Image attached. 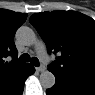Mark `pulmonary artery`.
<instances>
[{
    "label": "pulmonary artery",
    "instance_id": "pulmonary-artery-1",
    "mask_svg": "<svg viewBox=\"0 0 95 95\" xmlns=\"http://www.w3.org/2000/svg\"><path fill=\"white\" fill-rule=\"evenodd\" d=\"M37 53L39 54V56L41 57V59L45 62V63H50L52 61L51 57H49L46 52L44 51V47L42 43H39L36 47Z\"/></svg>",
    "mask_w": 95,
    "mask_h": 95
}]
</instances>
